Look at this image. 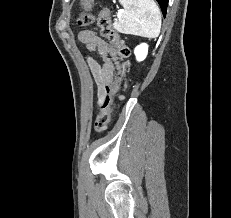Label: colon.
<instances>
[{"mask_svg":"<svg viewBox=\"0 0 231 218\" xmlns=\"http://www.w3.org/2000/svg\"><path fill=\"white\" fill-rule=\"evenodd\" d=\"M82 12L77 17L78 26H88L94 21V16L91 13L93 0H80ZM97 25L100 28V34L106 38L115 48L119 58L122 60L121 72L129 71L130 49L125 45L123 40L117 34L112 26V18L108 9H103L97 17ZM121 82V77L118 76L113 84L105 89L102 97L99 99V114L96 118L94 129L97 133L107 129L112 113V101L114 94L118 91Z\"/></svg>","mask_w":231,"mask_h":218,"instance_id":"5ec220e1","label":"colon"}]
</instances>
